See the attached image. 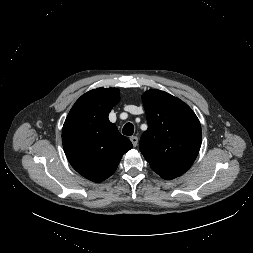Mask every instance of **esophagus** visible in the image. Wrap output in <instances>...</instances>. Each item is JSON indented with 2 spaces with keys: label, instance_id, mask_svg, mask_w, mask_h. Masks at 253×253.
Segmentation results:
<instances>
[{
  "label": "esophagus",
  "instance_id": "obj_1",
  "mask_svg": "<svg viewBox=\"0 0 253 253\" xmlns=\"http://www.w3.org/2000/svg\"><path fill=\"white\" fill-rule=\"evenodd\" d=\"M130 140H131L134 147H136L138 145V137L137 136L130 137Z\"/></svg>",
  "mask_w": 253,
  "mask_h": 253
}]
</instances>
